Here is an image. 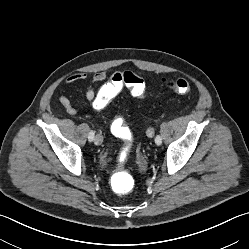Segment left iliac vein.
<instances>
[{
  "label": "left iliac vein",
  "mask_w": 249,
  "mask_h": 249,
  "mask_svg": "<svg viewBox=\"0 0 249 249\" xmlns=\"http://www.w3.org/2000/svg\"><path fill=\"white\" fill-rule=\"evenodd\" d=\"M147 136H148V137H153V136H154V130H153L152 128H149V129L147 130Z\"/></svg>",
  "instance_id": "obj_1"
}]
</instances>
